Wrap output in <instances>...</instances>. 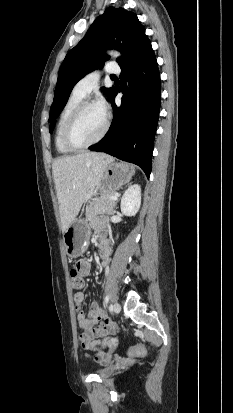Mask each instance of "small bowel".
Here are the masks:
<instances>
[{"instance_id":"obj_1","label":"small bowel","mask_w":233,"mask_h":413,"mask_svg":"<svg viewBox=\"0 0 233 413\" xmlns=\"http://www.w3.org/2000/svg\"><path fill=\"white\" fill-rule=\"evenodd\" d=\"M92 226L96 229H101L105 226V223L102 220H96L92 223ZM99 253L103 260V264H108L110 261L111 249L106 239H103L100 244ZM74 268L79 270L83 276L88 275L90 272V264L86 261H76L74 263ZM84 298L85 296L82 292H77L73 296L78 324L83 330L80 335V342L85 350L94 352L95 361L100 364H106L110 361L111 354L114 351L117 342L115 339H110L106 345H103L99 339L105 335L114 333L116 324L103 311L97 302L92 303L88 316H86L81 308Z\"/></svg>"}]
</instances>
